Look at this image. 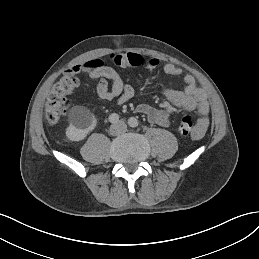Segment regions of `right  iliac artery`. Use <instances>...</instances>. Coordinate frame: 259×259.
I'll list each match as a JSON object with an SVG mask.
<instances>
[{"label": "right iliac artery", "instance_id": "obj_1", "mask_svg": "<svg viewBox=\"0 0 259 259\" xmlns=\"http://www.w3.org/2000/svg\"><path fill=\"white\" fill-rule=\"evenodd\" d=\"M109 121L111 123H117L119 121V115L116 113H113L109 116Z\"/></svg>", "mask_w": 259, "mask_h": 259}]
</instances>
